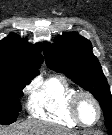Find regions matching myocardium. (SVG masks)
<instances>
[{"instance_id": "obj_1", "label": "myocardium", "mask_w": 112, "mask_h": 135, "mask_svg": "<svg viewBox=\"0 0 112 135\" xmlns=\"http://www.w3.org/2000/svg\"><path fill=\"white\" fill-rule=\"evenodd\" d=\"M82 97L89 98L93 102V104L95 105V107L97 109V118H96L95 122L92 123V124L85 123L82 120V118L79 114V100ZM69 106H70V111H71V114H72L73 118L76 120V122L80 126L92 127V126H95L101 119V116H102L101 105H100L98 99L90 91H87V90H77V91H75L72 94V96L70 97Z\"/></svg>"}]
</instances>
